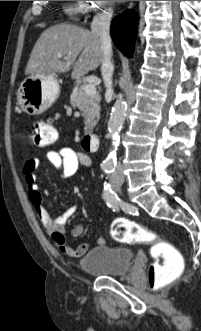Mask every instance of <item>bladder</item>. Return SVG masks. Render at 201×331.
Returning a JSON list of instances; mask_svg holds the SVG:
<instances>
[{"label":"bladder","instance_id":"obj_1","mask_svg":"<svg viewBox=\"0 0 201 331\" xmlns=\"http://www.w3.org/2000/svg\"><path fill=\"white\" fill-rule=\"evenodd\" d=\"M134 254L127 248L97 245L79 260L83 272L100 278L125 276L132 265Z\"/></svg>","mask_w":201,"mask_h":331}]
</instances>
